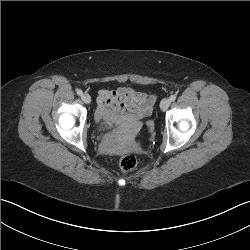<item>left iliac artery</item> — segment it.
Listing matches in <instances>:
<instances>
[{
	"instance_id": "44dca946",
	"label": "left iliac artery",
	"mask_w": 250,
	"mask_h": 250,
	"mask_svg": "<svg viewBox=\"0 0 250 250\" xmlns=\"http://www.w3.org/2000/svg\"><path fill=\"white\" fill-rule=\"evenodd\" d=\"M175 99H176V95H171V96H170V100H171V101H174Z\"/></svg>"
}]
</instances>
